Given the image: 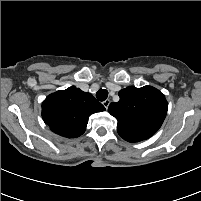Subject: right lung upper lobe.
<instances>
[{
    "instance_id": "cb5924a9",
    "label": "right lung upper lobe",
    "mask_w": 201,
    "mask_h": 201,
    "mask_svg": "<svg viewBox=\"0 0 201 201\" xmlns=\"http://www.w3.org/2000/svg\"><path fill=\"white\" fill-rule=\"evenodd\" d=\"M104 110L92 94L69 87L46 97L42 103V118L54 133L75 138L85 132L91 114Z\"/></svg>"
}]
</instances>
